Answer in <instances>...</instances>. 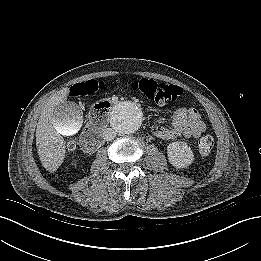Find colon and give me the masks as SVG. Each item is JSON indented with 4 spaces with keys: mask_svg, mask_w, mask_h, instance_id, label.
<instances>
[{
    "mask_svg": "<svg viewBox=\"0 0 261 261\" xmlns=\"http://www.w3.org/2000/svg\"><path fill=\"white\" fill-rule=\"evenodd\" d=\"M103 88V83L89 80L84 83L76 84L71 90V95L74 97L91 95ZM129 88L157 104L175 101L182 95V89L177 85L160 83L147 78L132 81L129 84ZM110 108L111 104L108 101H100L96 103L90 110L91 122L100 123L104 121L110 112ZM213 146L214 139L211 135H206L199 141V150L203 154L210 153ZM67 147L69 150L74 151L78 148V143L71 140Z\"/></svg>",
    "mask_w": 261,
    "mask_h": 261,
    "instance_id": "obj_1",
    "label": "colon"
}]
</instances>
